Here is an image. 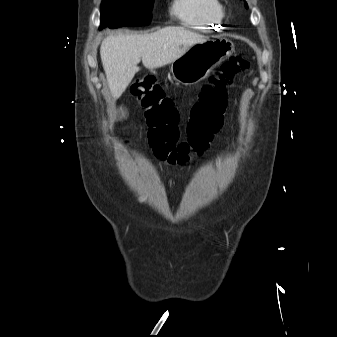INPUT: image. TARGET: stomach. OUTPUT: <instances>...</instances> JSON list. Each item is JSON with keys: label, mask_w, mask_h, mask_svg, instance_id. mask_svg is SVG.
<instances>
[{"label": "stomach", "mask_w": 337, "mask_h": 337, "mask_svg": "<svg viewBox=\"0 0 337 337\" xmlns=\"http://www.w3.org/2000/svg\"><path fill=\"white\" fill-rule=\"evenodd\" d=\"M234 51V44L227 38L208 39L190 46L172 62L175 80L185 85L200 82Z\"/></svg>", "instance_id": "stomach-1"}]
</instances>
